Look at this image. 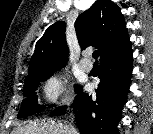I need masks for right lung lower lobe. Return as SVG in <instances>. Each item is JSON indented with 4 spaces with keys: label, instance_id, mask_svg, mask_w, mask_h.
Listing matches in <instances>:
<instances>
[{
    "label": "right lung lower lobe",
    "instance_id": "1",
    "mask_svg": "<svg viewBox=\"0 0 153 134\" xmlns=\"http://www.w3.org/2000/svg\"><path fill=\"white\" fill-rule=\"evenodd\" d=\"M132 48L128 41L100 58V83L96 96L76 93L72 107L81 134H118L132 74ZM65 107L54 110L51 116L62 115Z\"/></svg>",
    "mask_w": 153,
    "mask_h": 134
}]
</instances>
